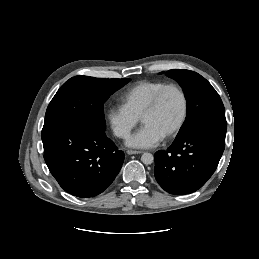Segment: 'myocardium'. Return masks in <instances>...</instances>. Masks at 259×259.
<instances>
[{
    "label": "myocardium",
    "instance_id": "1",
    "mask_svg": "<svg viewBox=\"0 0 259 259\" xmlns=\"http://www.w3.org/2000/svg\"><path fill=\"white\" fill-rule=\"evenodd\" d=\"M171 89L176 90L179 93V95L181 96L182 113H181L180 119H179L178 123L176 124V126L163 137L164 139H170V138L176 136L181 131V129L183 128V126L186 122L187 114H188V98H187L185 91L182 89V87H180L177 84H173V83L167 84L164 87H162L157 92V94L154 96L152 102L150 103V105L146 108V110L143 112V114L140 117L141 122H143L145 117L156 112L162 102L164 95L166 94L167 91H169Z\"/></svg>",
    "mask_w": 259,
    "mask_h": 259
}]
</instances>
